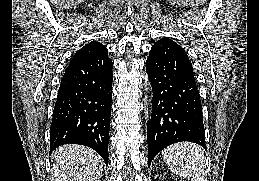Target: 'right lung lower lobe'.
<instances>
[{"mask_svg":"<svg viewBox=\"0 0 259 181\" xmlns=\"http://www.w3.org/2000/svg\"><path fill=\"white\" fill-rule=\"evenodd\" d=\"M112 68L107 51L68 65L53 110L50 150L68 143L85 145L108 164Z\"/></svg>","mask_w":259,"mask_h":181,"instance_id":"1","label":"right lung lower lobe"}]
</instances>
